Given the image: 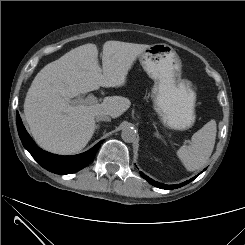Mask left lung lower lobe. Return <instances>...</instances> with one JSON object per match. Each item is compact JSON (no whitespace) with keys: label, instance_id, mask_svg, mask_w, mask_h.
I'll return each instance as SVG.
<instances>
[{"label":"left lung lower lobe","instance_id":"1","mask_svg":"<svg viewBox=\"0 0 245 245\" xmlns=\"http://www.w3.org/2000/svg\"><path fill=\"white\" fill-rule=\"evenodd\" d=\"M140 174H141V176H142L145 180H147V181H148L150 184H152L153 186H156V187L161 188V189H169V190L174 189V188L182 187V186L188 184L189 182H191L192 180H194V179L197 177V176H196V177H194V178H192V179H190V180H188V181H186V182H184V183H181V184H179V185H165V184H161V183H158V182L152 180L151 178H149L148 176L144 175L143 173H140Z\"/></svg>","mask_w":245,"mask_h":245}]
</instances>
